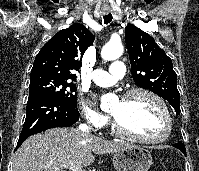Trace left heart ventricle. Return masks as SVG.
Segmentation results:
<instances>
[{"label":"left heart ventricle","instance_id":"obj_1","mask_svg":"<svg viewBox=\"0 0 199 171\" xmlns=\"http://www.w3.org/2000/svg\"><path fill=\"white\" fill-rule=\"evenodd\" d=\"M111 113L127 130L141 136L158 138L166 129L162 110L152 98L144 94L116 101Z\"/></svg>","mask_w":199,"mask_h":171}]
</instances>
